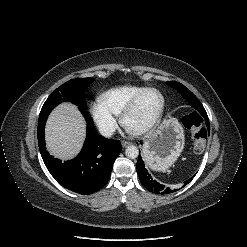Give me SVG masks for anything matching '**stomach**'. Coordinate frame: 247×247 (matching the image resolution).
<instances>
[{
  "mask_svg": "<svg viewBox=\"0 0 247 247\" xmlns=\"http://www.w3.org/2000/svg\"><path fill=\"white\" fill-rule=\"evenodd\" d=\"M184 130L174 119L165 120L147 139L142 152L146 164L153 170L165 171L183 151Z\"/></svg>",
  "mask_w": 247,
  "mask_h": 247,
  "instance_id": "obj_1",
  "label": "stomach"
}]
</instances>
